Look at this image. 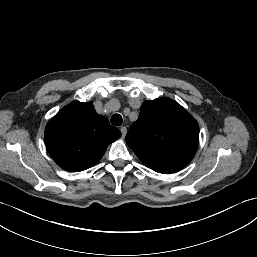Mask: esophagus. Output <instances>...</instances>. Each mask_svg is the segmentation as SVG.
Returning a JSON list of instances; mask_svg holds the SVG:
<instances>
[{
    "label": "esophagus",
    "mask_w": 257,
    "mask_h": 257,
    "mask_svg": "<svg viewBox=\"0 0 257 257\" xmlns=\"http://www.w3.org/2000/svg\"><path fill=\"white\" fill-rule=\"evenodd\" d=\"M121 134H122V138H124L126 136L127 133V128L125 126H122L120 128Z\"/></svg>",
    "instance_id": "esophagus-1"
}]
</instances>
